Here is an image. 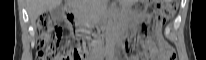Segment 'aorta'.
Listing matches in <instances>:
<instances>
[{
	"label": "aorta",
	"mask_w": 206,
	"mask_h": 60,
	"mask_svg": "<svg viewBox=\"0 0 206 60\" xmlns=\"http://www.w3.org/2000/svg\"><path fill=\"white\" fill-rule=\"evenodd\" d=\"M105 37H106V47L112 50L113 47V37H114V23L113 19L109 17L105 29Z\"/></svg>",
	"instance_id": "1"
}]
</instances>
